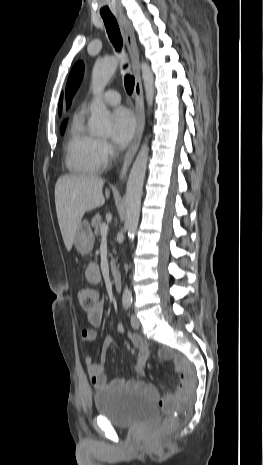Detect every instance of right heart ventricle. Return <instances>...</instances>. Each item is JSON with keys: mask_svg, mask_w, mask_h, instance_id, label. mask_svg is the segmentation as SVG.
I'll use <instances>...</instances> for the list:
<instances>
[{"mask_svg": "<svg viewBox=\"0 0 263 465\" xmlns=\"http://www.w3.org/2000/svg\"><path fill=\"white\" fill-rule=\"evenodd\" d=\"M65 162L76 174H95L106 165L99 154V139L85 128L80 116L73 119L68 132Z\"/></svg>", "mask_w": 263, "mask_h": 465, "instance_id": "right-heart-ventricle-1", "label": "right heart ventricle"}]
</instances>
